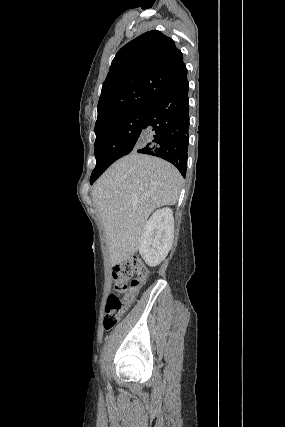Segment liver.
<instances>
[{"mask_svg":"<svg viewBox=\"0 0 285 427\" xmlns=\"http://www.w3.org/2000/svg\"><path fill=\"white\" fill-rule=\"evenodd\" d=\"M182 181L169 162L136 152L116 161L97 180L92 196L112 266L137 252L149 215L158 207L176 204Z\"/></svg>","mask_w":285,"mask_h":427,"instance_id":"6515ba94","label":"liver"}]
</instances>
